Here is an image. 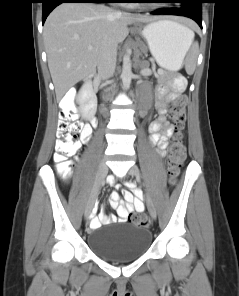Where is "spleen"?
<instances>
[{
	"instance_id": "3e777b00",
	"label": "spleen",
	"mask_w": 239,
	"mask_h": 296,
	"mask_svg": "<svg viewBox=\"0 0 239 296\" xmlns=\"http://www.w3.org/2000/svg\"><path fill=\"white\" fill-rule=\"evenodd\" d=\"M188 33L190 36V41L192 43L193 38H194V33L190 29H188ZM191 45V44H190ZM190 47V46H189ZM189 49V48H188ZM196 56H197V46L195 45L191 51L190 57L188 58L186 62V71L189 74H192L195 70L196 66Z\"/></svg>"
}]
</instances>
